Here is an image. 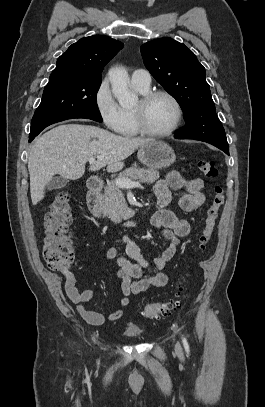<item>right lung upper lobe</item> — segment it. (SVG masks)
<instances>
[{"mask_svg": "<svg viewBox=\"0 0 265 407\" xmlns=\"http://www.w3.org/2000/svg\"><path fill=\"white\" fill-rule=\"evenodd\" d=\"M122 47L123 43L108 36L84 37L72 44L58 58L51 76L66 74L78 78L101 80L104 66Z\"/></svg>", "mask_w": 265, "mask_h": 407, "instance_id": "1", "label": "right lung upper lobe"}]
</instances>
